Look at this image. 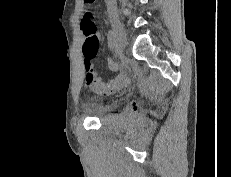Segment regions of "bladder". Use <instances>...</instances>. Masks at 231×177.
Wrapping results in <instances>:
<instances>
[{
  "label": "bladder",
  "mask_w": 231,
  "mask_h": 177,
  "mask_svg": "<svg viewBox=\"0 0 231 177\" xmlns=\"http://www.w3.org/2000/svg\"><path fill=\"white\" fill-rule=\"evenodd\" d=\"M84 105L92 111H98L102 106V102L97 96L88 95L85 97Z\"/></svg>",
  "instance_id": "31cf9c89"
}]
</instances>
